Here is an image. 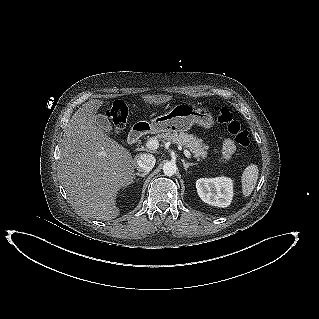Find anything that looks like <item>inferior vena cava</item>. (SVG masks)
Segmentation results:
<instances>
[{"label": "inferior vena cava", "instance_id": "obj_1", "mask_svg": "<svg viewBox=\"0 0 319 319\" xmlns=\"http://www.w3.org/2000/svg\"><path fill=\"white\" fill-rule=\"evenodd\" d=\"M156 163V159L152 154H140L136 156L135 168L144 173L150 172Z\"/></svg>", "mask_w": 319, "mask_h": 319}]
</instances>
